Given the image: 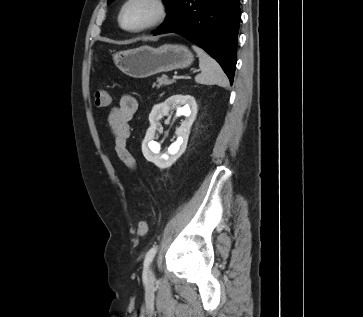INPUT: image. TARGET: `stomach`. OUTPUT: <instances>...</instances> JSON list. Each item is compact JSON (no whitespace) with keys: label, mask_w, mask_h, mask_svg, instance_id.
Returning <instances> with one entry per match:
<instances>
[{"label":"stomach","mask_w":363,"mask_h":317,"mask_svg":"<svg viewBox=\"0 0 363 317\" xmlns=\"http://www.w3.org/2000/svg\"><path fill=\"white\" fill-rule=\"evenodd\" d=\"M113 60L123 73L134 78H146L189 67L193 62V55L184 45L164 44L157 48L143 45L119 51L113 55Z\"/></svg>","instance_id":"1"}]
</instances>
